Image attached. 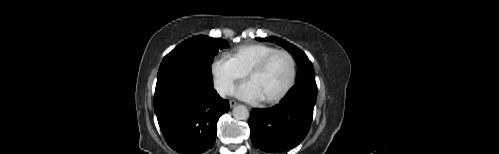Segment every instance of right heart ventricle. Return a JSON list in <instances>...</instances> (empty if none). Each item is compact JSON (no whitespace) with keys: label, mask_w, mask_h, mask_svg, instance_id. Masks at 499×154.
Segmentation results:
<instances>
[{"label":"right heart ventricle","mask_w":499,"mask_h":154,"mask_svg":"<svg viewBox=\"0 0 499 154\" xmlns=\"http://www.w3.org/2000/svg\"><path fill=\"white\" fill-rule=\"evenodd\" d=\"M276 48L262 43H249L238 46L227 56L245 73L267 54Z\"/></svg>","instance_id":"e07e8e85"}]
</instances>
